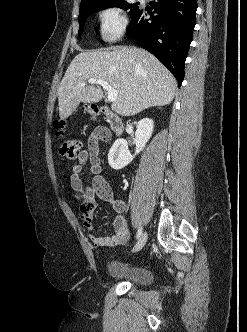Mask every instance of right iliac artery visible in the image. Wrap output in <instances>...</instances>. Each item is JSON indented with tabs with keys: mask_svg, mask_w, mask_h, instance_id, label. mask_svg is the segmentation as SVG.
I'll use <instances>...</instances> for the list:
<instances>
[{
	"mask_svg": "<svg viewBox=\"0 0 247 332\" xmlns=\"http://www.w3.org/2000/svg\"><path fill=\"white\" fill-rule=\"evenodd\" d=\"M141 234H142V228L139 226L138 231H137V235H136V239H139Z\"/></svg>",
	"mask_w": 247,
	"mask_h": 332,
	"instance_id": "obj_1",
	"label": "right iliac artery"
}]
</instances>
